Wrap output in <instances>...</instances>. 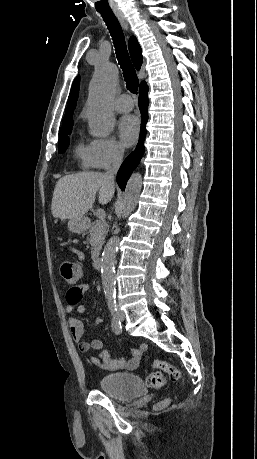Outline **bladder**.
Returning <instances> with one entry per match:
<instances>
[{
    "label": "bladder",
    "instance_id": "obj_1",
    "mask_svg": "<svg viewBox=\"0 0 257 459\" xmlns=\"http://www.w3.org/2000/svg\"><path fill=\"white\" fill-rule=\"evenodd\" d=\"M98 388L105 394L121 400L130 401L147 394L142 379L131 373H112L98 380Z\"/></svg>",
    "mask_w": 257,
    "mask_h": 459
}]
</instances>
